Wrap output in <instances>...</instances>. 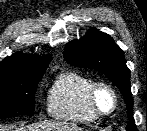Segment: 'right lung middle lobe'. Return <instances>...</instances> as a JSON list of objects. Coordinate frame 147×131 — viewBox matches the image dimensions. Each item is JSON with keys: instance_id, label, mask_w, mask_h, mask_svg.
I'll list each match as a JSON object with an SVG mask.
<instances>
[{"instance_id": "1", "label": "right lung middle lobe", "mask_w": 147, "mask_h": 131, "mask_svg": "<svg viewBox=\"0 0 147 131\" xmlns=\"http://www.w3.org/2000/svg\"><path fill=\"white\" fill-rule=\"evenodd\" d=\"M43 73H0V119L34 111L35 92Z\"/></svg>"}]
</instances>
